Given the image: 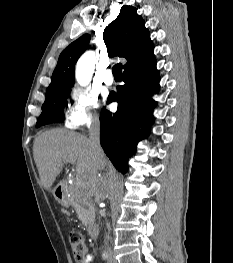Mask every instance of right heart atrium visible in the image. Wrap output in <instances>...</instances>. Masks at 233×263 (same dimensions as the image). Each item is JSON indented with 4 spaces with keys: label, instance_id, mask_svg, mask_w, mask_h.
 Wrapping results in <instances>:
<instances>
[{
    "label": "right heart atrium",
    "instance_id": "obj_1",
    "mask_svg": "<svg viewBox=\"0 0 233 263\" xmlns=\"http://www.w3.org/2000/svg\"><path fill=\"white\" fill-rule=\"evenodd\" d=\"M97 95L87 88L74 87L70 93V106L65 116V124L70 129H78L98 121Z\"/></svg>",
    "mask_w": 233,
    "mask_h": 263
}]
</instances>
